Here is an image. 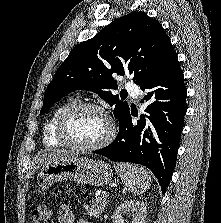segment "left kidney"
Segmentation results:
<instances>
[{
  "label": "left kidney",
  "mask_w": 221,
  "mask_h": 223,
  "mask_svg": "<svg viewBox=\"0 0 221 223\" xmlns=\"http://www.w3.org/2000/svg\"><path fill=\"white\" fill-rule=\"evenodd\" d=\"M123 214H132L131 223H146L147 206L141 201H125L113 212V223H124Z\"/></svg>",
  "instance_id": "obj_1"
}]
</instances>
